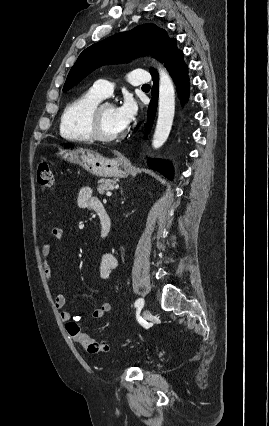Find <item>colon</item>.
<instances>
[{"mask_svg":"<svg viewBox=\"0 0 269 426\" xmlns=\"http://www.w3.org/2000/svg\"><path fill=\"white\" fill-rule=\"evenodd\" d=\"M37 182L40 188L50 190L54 185L53 172L46 158H42L37 165ZM70 336L81 344L88 353L99 354L108 350V345L91 339L86 333L80 330L79 325L74 321H69L66 325Z\"/></svg>","mask_w":269,"mask_h":426,"instance_id":"colon-1","label":"colon"}]
</instances>
